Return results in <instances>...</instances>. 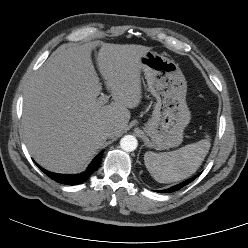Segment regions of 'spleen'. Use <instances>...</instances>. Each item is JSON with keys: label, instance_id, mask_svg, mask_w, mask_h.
I'll return each mask as SVG.
<instances>
[{"label": "spleen", "instance_id": "spleen-1", "mask_svg": "<svg viewBox=\"0 0 248 248\" xmlns=\"http://www.w3.org/2000/svg\"><path fill=\"white\" fill-rule=\"evenodd\" d=\"M210 138L164 153L146 152L144 162L151 176L159 183H171L190 177L201 166L209 152Z\"/></svg>", "mask_w": 248, "mask_h": 248}]
</instances>
